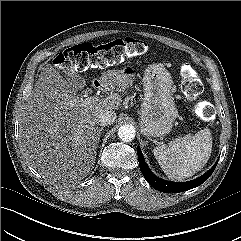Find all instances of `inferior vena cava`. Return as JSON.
Listing matches in <instances>:
<instances>
[{
	"instance_id": "1",
	"label": "inferior vena cava",
	"mask_w": 241,
	"mask_h": 241,
	"mask_svg": "<svg viewBox=\"0 0 241 241\" xmlns=\"http://www.w3.org/2000/svg\"><path fill=\"white\" fill-rule=\"evenodd\" d=\"M116 117V113L112 110H101L96 116V121L100 126H106L112 124Z\"/></svg>"
}]
</instances>
